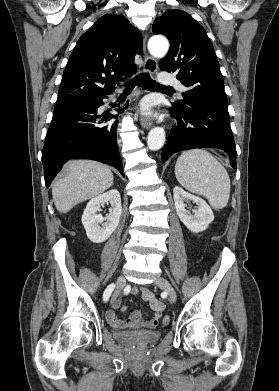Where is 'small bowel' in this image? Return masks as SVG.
<instances>
[{
  "instance_id": "1",
  "label": "small bowel",
  "mask_w": 279,
  "mask_h": 391,
  "mask_svg": "<svg viewBox=\"0 0 279 391\" xmlns=\"http://www.w3.org/2000/svg\"><path fill=\"white\" fill-rule=\"evenodd\" d=\"M132 294H141L142 299L148 303L149 308L152 311V316L144 320L141 317L139 311H135L127 320L119 319L115 314V309L121 308L124 310V306L121 305V300H115L112 308L106 311L105 317L109 324L115 328H155L159 324L162 311L164 310V304L155 295L146 288H132L130 290Z\"/></svg>"
}]
</instances>
